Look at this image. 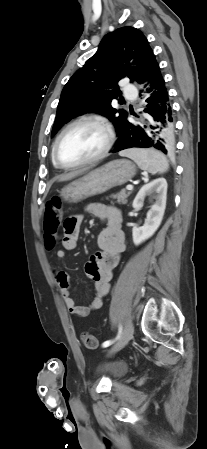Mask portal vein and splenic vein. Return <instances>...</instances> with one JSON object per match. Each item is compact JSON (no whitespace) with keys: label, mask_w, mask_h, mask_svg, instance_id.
I'll return each instance as SVG.
<instances>
[{"label":"portal vein and splenic vein","mask_w":207,"mask_h":449,"mask_svg":"<svg viewBox=\"0 0 207 449\" xmlns=\"http://www.w3.org/2000/svg\"><path fill=\"white\" fill-rule=\"evenodd\" d=\"M126 189H127V190H132V189H133V186H132V185H127V186H126Z\"/></svg>","instance_id":"portal-vein-and-splenic-vein-1"}]
</instances>
